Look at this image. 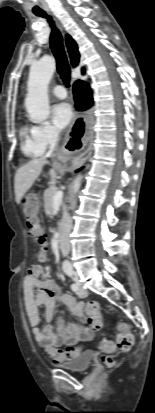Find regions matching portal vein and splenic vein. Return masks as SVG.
Masks as SVG:
<instances>
[{
  "label": "portal vein and splenic vein",
  "instance_id": "obj_1",
  "mask_svg": "<svg viewBox=\"0 0 155 413\" xmlns=\"http://www.w3.org/2000/svg\"><path fill=\"white\" fill-rule=\"evenodd\" d=\"M62 199H63V192L62 191H57L54 195V198H53V204L54 205L60 204L62 202Z\"/></svg>",
  "mask_w": 155,
  "mask_h": 413
}]
</instances>
